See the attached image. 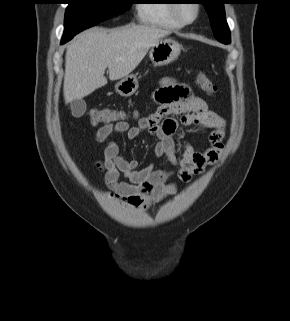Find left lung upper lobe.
<instances>
[{
	"label": "left lung upper lobe",
	"mask_w": 290,
	"mask_h": 321,
	"mask_svg": "<svg viewBox=\"0 0 290 321\" xmlns=\"http://www.w3.org/2000/svg\"><path fill=\"white\" fill-rule=\"evenodd\" d=\"M215 38L230 42V31L225 20V0H203Z\"/></svg>",
	"instance_id": "1"
}]
</instances>
